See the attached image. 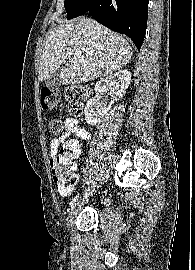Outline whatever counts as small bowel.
I'll return each instance as SVG.
<instances>
[{
  "label": "small bowel",
  "instance_id": "small-bowel-1",
  "mask_svg": "<svg viewBox=\"0 0 195 270\" xmlns=\"http://www.w3.org/2000/svg\"><path fill=\"white\" fill-rule=\"evenodd\" d=\"M64 126H65L64 133L60 135L59 137L52 139V141L50 142L49 150H50V156L52 158H54L57 155L59 146L65 143L67 138L70 135H76L79 139H82V140H87L90 137L89 132L83 126H81L78 119L74 117L66 118L64 120ZM53 160L54 159H52L50 163L51 167L53 166ZM70 192H68L67 194H64L63 196H67L68 194H70Z\"/></svg>",
  "mask_w": 195,
  "mask_h": 270
}]
</instances>
